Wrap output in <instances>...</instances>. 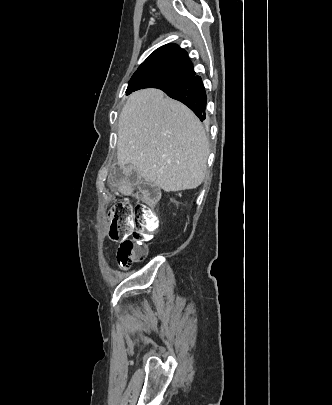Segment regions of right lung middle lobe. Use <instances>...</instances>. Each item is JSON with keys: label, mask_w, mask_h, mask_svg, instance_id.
Here are the masks:
<instances>
[{"label": "right lung middle lobe", "mask_w": 332, "mask_h": 405, "mask_svg": "<svg viewBox=\"0 0 332 405\" xmlns=\"http://www.w3.org/2000/svg\"><path fill=\"white\" fill-rule=\"evenodd\" d=\"M184 79L180 76H175L158 71H148L134 73L129 81L128 88L126 92L136 91L142 88H166L173 86Z\"/></svg>", "instance_id": "1"}]
</instances>
